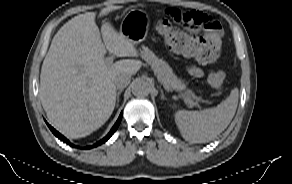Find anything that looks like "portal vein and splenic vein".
<instances>
[{
  "instance_id": "1",
  "label": "portal vein and splenic vein",
  "mask_w": 292,
  "mask_h": 184,
  "mask_svg": "<svg viewBox=\"0 0 292 184\" xmlns=\"http://www.w3.org/2000/svg\"><path fill=\"white\" fill-rule=\"evenodd\" d=\"M106 63H107V64H112V63H113V57L110 56V57L106 58ZM184 101L187 102V103H189L190 106H194V105H195L194 102L188 100L187 98H184Z\"/></svg>"
}]
</instances>
